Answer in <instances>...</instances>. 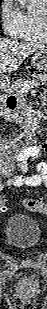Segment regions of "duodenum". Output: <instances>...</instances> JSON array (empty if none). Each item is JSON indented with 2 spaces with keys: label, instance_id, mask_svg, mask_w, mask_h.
<instances>
[{
  "label": "duodenum",
  "instance_id": "obj_1",
  "mask_svg": "<svg viewBox=\"0 0 47 309\" xmlns=\"http://www.w3.org/2000/svg\"><path fill=\"white\" fill-rule=\"evenodd\" d=\"M15 108H16V102L15 101L8 100V101L5 102V104L2 108V116L6 121H8V122L11 121V116H12V113L15 110ZM29 139L30 140L33 139V135H30Z\"/></svg>",
  "mask_w": 47,
  "mask_h": 309
}]
</instances>
